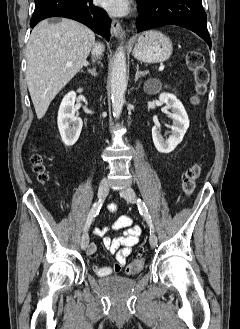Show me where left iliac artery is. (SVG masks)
Here are the masks:
<instances>
[{"label":"left iliac artery","mask_w":240,"mask_h":329,"mask_svg":"<svg viewBox=\"0 0 240 329\" xmlns=\"http://www.w3.org/2000/svg\"><path fill=\"white\" fill-rule=\"evenodd\" d=\"M137 205H138L140 214L144 216V218L146 219V221L148 223V226L150 228V234L154 233V225H153L151 216L148 213V209H147L145 203L141 199L138 198Z\"/></svg>","instance_id":"1"}]
</instances>
